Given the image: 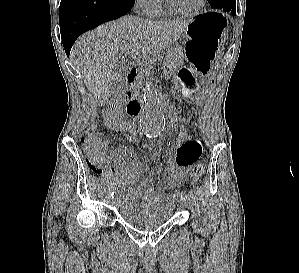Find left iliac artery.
I'll list each match as a JSON object with an SVG mask.
<instances>
[{
  "label": "left iliac artery",
  "instance_id": "obj_1",
  "mask_svg": "<svg viewBox=\"0 0 299 273\" xmlns=\"http://www.w3.org/2000/svg\"><path fill=\"white\" fill-rule=\"evenodd\" d=\"M181 198L184 199V200L188 199V197H187V195H186L185 192L181 193Z\"/></svg>",
  "mask_w": 299,
  "mask_h": 273
}]
</instances>
